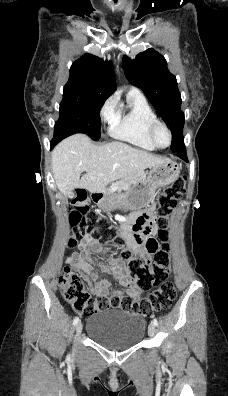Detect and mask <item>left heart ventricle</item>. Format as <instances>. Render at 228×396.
Listing matches in <instances>:
<instances>
[{"label":"left heart ventricle","mask_w":228,"mask_h":396,"mask_svg":"<svg viewBox=\"0 0 228 396\" xmlns=\"http://www.w3.org/2000/svg\"><path fill=\"white\" fill-rule=\"evenodd\" d=\"M155 140L158 145L166 146L169 142L168 134L163 128H158L155 133Z\"/></svg>","instance_id":"1"}]
</instances>
